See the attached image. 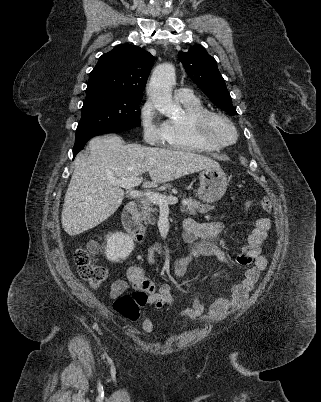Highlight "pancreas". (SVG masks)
Instances as JSON below:
<instances>
[{
  "label": "pancreas",
  "instance_id": "cf45deb5",
  "mask_svg": "<svg viewBox=\"0 0 321 402\" xmlns=\"http://www.w3.org/2000/svg\"><path fill=\"white\" fill-rule=\"evenodd\" d=\"M164 196H167L166 194ZM157 204L151 202L147 198H143L140 204V219L144 222V224H152L156 223V218L154 214L158 212ZM214 206L208 204H201L197 200L192 198L186 199L182 205L180 206V210L183 213H187L188 215H197V212L205 214L210 210H213Z\"/></svg>",
  "mask_w": 321,
  "mask_h": 402
}]
</instances>
